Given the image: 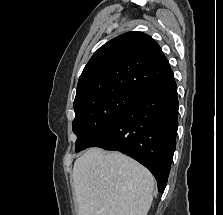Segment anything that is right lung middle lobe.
Segmentation results:
<instances>
[{"label":"right lung middle lobe","instance_id":"1","mask_svg":"<svg viewBox=\"0 0 223 215\" xmlns=\"http://www.w3.org/2000/svg\"><path fill=\"white\" fill-rule=\"evenodd\" d=\"M139 96L128 90H115L74 107L76 116L72 128L77 136L76 152L91 147Z\"/></svg>","mask_w":223,"mask_h":215}]
</instances>
